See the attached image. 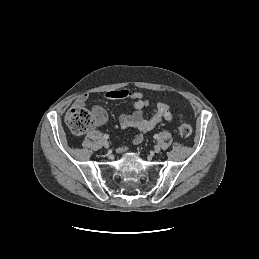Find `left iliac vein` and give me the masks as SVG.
Masks as SVG:
<instances>
[{
	"instance_id": "left-iliac-vein-1",
	"label": "left iliac vein",
	"mask_w": 259,
	"mask_h": 259,
	"mask_svg": "<svg viewBox=\"0 0 259 259\" xmlns=\"http://www.w3.org/2000/svg\"><path fill=\"white\" fill-rule=\"evenodd\" d=\"M160 150H161L160 146H159V145H155V147H154V152H155V153H159Z\"/></svg>"
}]
</instances>
